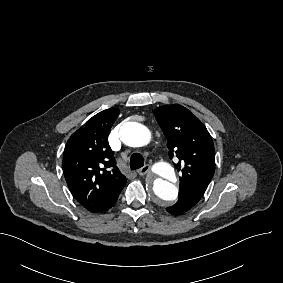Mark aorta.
<instances>
[{
    "instance_id": "762f6f07",
    "label": "aorta",
    "mask_w": 283,
    "mask_h": 283,
    "mask_svg": "<svg viewBox=\"0 0 283 283\" xmlns=\"http://www.w3.org/2000/svg\"><path fill=\"white\" fill-rule=\"evenodd\" d=\"M121 141L130 147H142L151 139L149 129L137 122L124 123L119 132ZM158 177L152 183V191L160 203L175 201L178 197V188L173 180H176L172 166L166 162L158 163L154 168Z\"/></svg>"
}]
</instances>
